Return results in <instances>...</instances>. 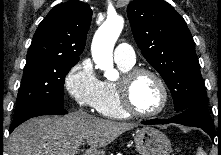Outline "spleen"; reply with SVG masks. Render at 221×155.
<instances>
[{
  "label": "spleen",
  "instance_id": "obj_1",
  "mask_svg": "<svg viewBox=\"0 0 221 155\" xmlns=\"http://www.w3.org/2000/svg\"><path fill=\"white\" fill-rule=\"evenodd\" d=\"M196 155H206V153L203 151V149L200 147L197 150V154Z\"/></svg>",
  "mask_w": 221,
  "mask_h": 155
}]
</instances>
